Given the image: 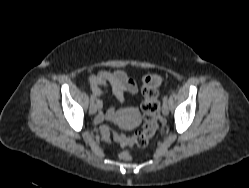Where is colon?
Listing matches in <instances>:
<instances>
[{
    "mask_svg": "<svg viewBox=\"0 0 249 188\" xmlns=\"http://www.w3.org/2000/svg\"><path fill=\"white\" fill-rule=\"evenodd\" d=\"M163 78L159 75H148L143 79L141 92L143 95L142 112L144 123L141 130L136 131L131 137L114 133L108 126L101 127V133L107 141H113L122 146L136 145L144 147L155 135L160 120V104L158 100V87L162 84ZM123 160H130L131 154L125 150L119 154Z\"/></svg>",
    "mask_w": 249,
    "mask_h": 188,
    "instance_id": "1",
    "label": "colon"
}]
</instances>
